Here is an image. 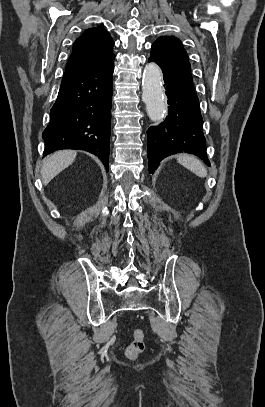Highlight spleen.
Masks as SVG:
<instances>
[{
  "mask_svg": "<svg viewBox=\"0 0 265 407\" xmlns=\"http://www.w3.org/2000/svg\"><path fill=\"white\" fill-rule=\"evenodd\" d=\"M178 162L189 169L191 172H193L195 175L199 177H206L207 176V170L204 167L203 163L199 161L197 158L194 156L190 155H179L177 157Z\"/></svg>",
  "mask_w": 265,
  "mask_h": 407,
  "instance_id": "obj_1",
  "label": "spleen"
}]
</instances>
